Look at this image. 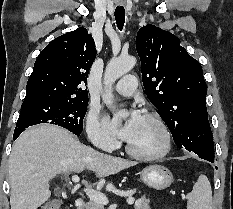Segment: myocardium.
Instances as JSON below:
<instances>
[{"label":"myocardium","mask_w":233,"mask_h":209,"mask_svg":"<svg viewBox=\"0 0 233 209\" xmlns=\"http://www.w3.org/2000/svg\"><path fill=\"white\" fill-rule=\"evenodd\" d=\"M144 117L152 120L159 127L163 138L161 148L158 151L152 153H141L134 150L129 143H126L125 150L130 156L138 160L153 161V160L161 159L164 156H166L171 149V144H172L171 132L168 126L166 125V123L164 122V120L158 114L154 112H147L144 114Z\"/></svg>","instance_id":"obj_1"}]
</instances>
